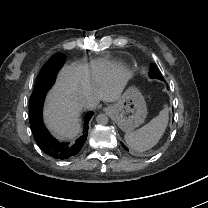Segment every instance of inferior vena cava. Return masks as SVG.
<instances>
[{"instance_id": "inferior-vena-cava-1", "label": "inferior vena cava", "mask_w": 208, "mask_h": 208, "mask_svg": "<svg viewBox=\"0 0 208 208\" xmlns=\"http://www.w3.org/2000/svg\"><path fill=\"white\" fill-rule=\"evenodd\" d=\"M80 102L83 107L87 105V101L83 98L80 99Z\"/></svg>"}]
</instances>
